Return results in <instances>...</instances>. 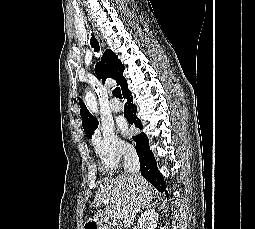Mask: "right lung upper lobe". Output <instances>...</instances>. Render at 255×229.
<instances>
[{"label": "right lung upper lobe", "mask_w": 255, "mask_h": 229, "mask_svg": "<svg viewBox=\"0 0 255 229\" xmlns=\"http://www.w3.org/2000/svg\"><path fill=\"white\" fill-rule=\"evenodd\" d=\"M95 72L102 81H105L107 78H114L117 80V84L123 90L127 81L123 77L124 65L118 60L116 54H114L111 50L105 51L101 62L97 63L95 67ZM80 104V115L82 117V125L85 134L88 138L92 137V134L98 127V120L90 114L88 109L86 108L84 102L79 99Z\"/></svg>", "instance_id": "obj_1"}]
</instances>
